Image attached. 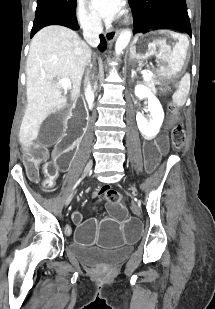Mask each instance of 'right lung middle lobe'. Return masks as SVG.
<instances>
[{
  "label": "right lung middle lobe",
  "instance_id": "1",
  "mask_svg": "<svg viewBox=\"0 0 215 309\" xmlns=\"http://www.w3.org/2000/svg\"><path fill=\"white\" fill-rule=\"evenodd\" d=\"M63 19L73 23L76 20V0H37L33 36L50 20Z\"/></svg>",
  "mask_w": 215,
  "mask_h": 309
}]
</instances>
